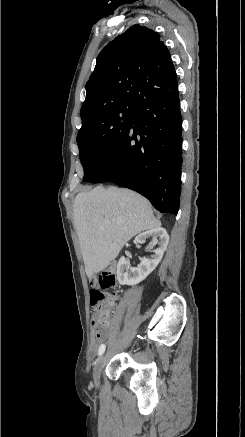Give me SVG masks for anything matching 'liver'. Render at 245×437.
Wrapping results in <instances>:
<instances>
[{
	"mask_svg": "<svg viewBox=\"0 0 245 437\" xmlns=\"http://www.w3.org/2000/svg\"><path fill=\"white\" fill-rule=\"evenodd\" d=\"M73 220L89 278L106 268L132 237L161 226L144 197L102 186L77 194Z\"/></svg>",
	"mask_w": 245,
	"mask_h": 437,
	"instance_id": "1",
	"label": "liver"
}]
</instances>
